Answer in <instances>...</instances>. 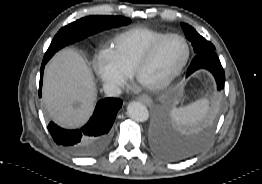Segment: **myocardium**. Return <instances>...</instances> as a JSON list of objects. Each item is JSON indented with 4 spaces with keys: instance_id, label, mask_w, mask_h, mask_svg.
I'll return each instance as SVG.
<instances>
[{
    "instance_id": "obj_1",
    "label": "myocardium",
    "mask_w": 262,
    "mask_h": 184,
    "mask_svg": "<svg viewBox=\"0 0 262 184\" xmlns=\"http://www.w3.org/2000/svg\"><path fill=\"white\" fill-rule=\"evenodd\" d=\"M179 38L183 41L185 47H186V55L181 62V64L177 67V69L172 72L168 77L165 79L159 81V82H145L142 79V73L143 71L151 64L155 54L157 53L160 46L169 38ZM191 55V48L187 41V39L178 33H167L163 35L161 38H159L157 41H155L143 54L141 59L138 61V63L135 65L132 76L135 80V82L142 88L150 91H159L162 89H165L168 87L171 83H173L176 78L181 74L185 66L187 65L189 58Z\"/></svg>"
}]
</instances>
